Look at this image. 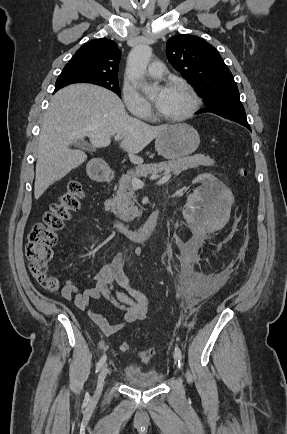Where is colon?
I'll return each instance as SVG.
<instances>
[{"instance_id": "colon-1", "label": "colon", "mask_w": 287, "mask_h": 434, "mask_svg": "<svg viewBox=\"0 0 287 434\" xmlns=\"http://www.w3.org/2000/svg\"><path fill=\"white\" fill-rule=\"evenodd\" d=\"M239 172L241 176H246V171L243 168ZM83 198L82 183L78 179L70 180L65 191L50 205L42 220L35 223L30 231L25 248L29 271L32 277L49 292L55 293L60 287L59 281L49 269V264L54 256V248L58 242V233L65 228L73 214L80 209ZM129 348L128 343L124 342L120 345L122 352L128 351ZM154 354V349L145 350L141 353V359L148 361Z\"/></svg>"}]
</instances>
